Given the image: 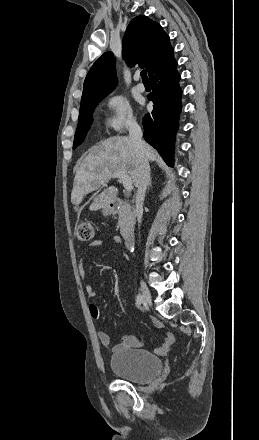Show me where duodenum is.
Here are the masks:
<instances>
[{
  "label": "duodenum",
  "mask_w": 259,
  "mask_h": 440,
  "mask_svg": "<svg viewBox=\"0 0 259 440\" xmlns=\"http://www.w3.org/2000/svg\"><path fill=\"white\" fill-rule=\"evenodd\" d=\"M122 204V201L120 199H114L112 200L109 205L108 209L110 212H114L117 210V208ZM124 241L125 245L128 249H131L134 245V236L131 232H127L124 234Z\"/></svg>",
  "instance_id": "1"
}]
</instances>
